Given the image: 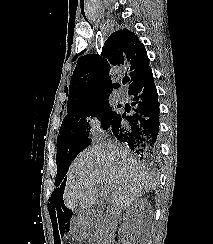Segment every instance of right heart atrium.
Masks as SVG:
<instances>
[{"instance_id": "d8ad5b80", "label": "right heart atrium", "mask_w": 213, "mask_h": 244, "mask_svg": "<svg viewBox=\"0 0 213 244\" xmlns=\"http://www.w3.org/2000/svg\"><path fill=\"white\" fill-rule=\"evenodd\" d=\"M89 126V131L93 137H98L102 135V132L99 130V119L97 117H89L87 119Z\"/></svg>"}]
</instances>
